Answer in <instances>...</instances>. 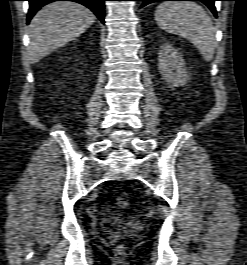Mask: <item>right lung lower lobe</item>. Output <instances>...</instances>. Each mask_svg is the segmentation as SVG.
Wrapping results in <instances>:
<instances>
[{"instance_id": "98d812e1", "label": "right lung lower lobe", "mask_w": 247, "mask_h": 265, "mask_svg": "<svg viewBox=\"0 0 247 265\" xmlns=\"http://www.w3.org/2000/svg\"><path fill=\"white\" fill-rule=\"evenodd\" d=\"M29 1V11L27 17V24H29L31 18L35 13L44 5L54 1H74L80 3L94 12L99 20L104 24L105 10L104 3L106 0H27Z\"/></svg>"}]
</instances>
